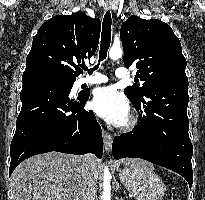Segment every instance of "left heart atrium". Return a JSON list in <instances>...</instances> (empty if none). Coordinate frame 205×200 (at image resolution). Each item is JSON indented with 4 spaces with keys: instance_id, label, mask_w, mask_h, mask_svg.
Returning <instances> with one entry per match:
<instances>
[{
    "instance_id": "obj_1",
    "label": "left heart atrium",
    "mask_w": 205,
    "mask_h": 200,
    "mask_svg": "<svg viewBox=\"0 0 205 200\" xmlns=\"http://www.w3.org/2000/svg\"><path fill=\"white\" fill-rule=\"evenodd\" d=\"M91 106L94 112L114 125H123L129 115V106L115 87H103L94 92Z\"/></svg>"
}]
</instances>
